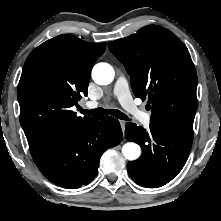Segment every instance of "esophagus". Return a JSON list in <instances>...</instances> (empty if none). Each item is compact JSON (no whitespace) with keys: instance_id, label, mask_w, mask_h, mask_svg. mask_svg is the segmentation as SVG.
Here are the masks:
<instances>
[{"instance_id":"obj_1","label":"esophagus","mask_w":221,"mask_h":221,"mask_svg":"<svg viewBox=\"0 0 221 221\" xmlns=\"http://www.w3.org/2000/svg\"><path fill=\"white\" fill-rule=\"evenodd\" d=\"M125 124H126V121L120 120V125H121V127H122L123 130H124V128H125Z\"/></svg>"}]
</instances>
